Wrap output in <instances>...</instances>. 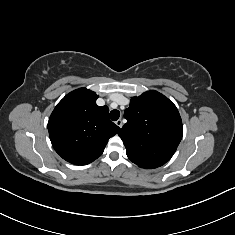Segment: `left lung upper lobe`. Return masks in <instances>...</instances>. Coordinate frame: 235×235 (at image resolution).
I'll use <instances>...</instances> for the list:
<instances>
[{"label": "left lung upper lobe", "mask_w": 235, "mask_h": 235, "mask_svg": "<svg viewBox=\"0 0 235 235\" xmlns=\"http://www.w3.org/2000/svg\"><path fill=\"white\" fill-rule=\"evenodd\" d=\"M124 117L127 123L118 135L133 163L153 169L173 156L183 128L176 106L167 97L155 90L133 97Z\"/></svg>", "instance_id": "1"}]
</instances>
